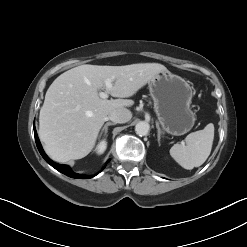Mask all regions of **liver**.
Masks as SVG:
<instances>
[{"instance_id":"obj_1","label":"liver","mask_w":247,"mask_h":247,"mask_svg":"<svg viewBox=\"0 0 247 247\" xmlns=\"http://www.w3.org/2000/svg\"><path fill=\"white\" fill-rule=\"evenodd\" d=\"M167 71L158 63L125 66L81 65L58 76L48 88L39 115V137L46 153L57 162L81 159L94 148L110 111L130 107L133 96L158 73ZM118 99H103L98 91L105 80Z\"/></svg>"}]
</instances>
